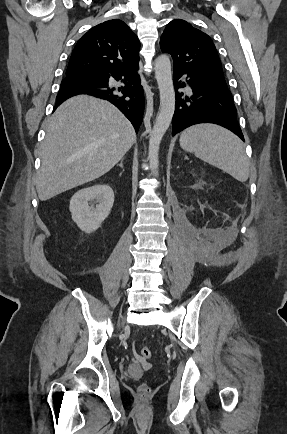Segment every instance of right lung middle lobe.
<instances>
[{
	"instance_id": "right-lung-middle-lobe-1",
	"label": "right lung middle lobe",
	"mask_w": 287,
	"mask_h": 434,
	"mask_svg": "<svg viewBox=\"0 0 287 434\" xmlns=\"http://www.w3.org/2000/svg\"><path fill=\"white\" fill-rule=\"evenodd\" d=\"M92 76H95V75H83V76H80V77L84 78V77H92Z\"/></svg>"
}]
</instances>
